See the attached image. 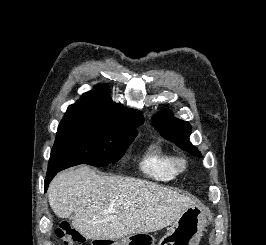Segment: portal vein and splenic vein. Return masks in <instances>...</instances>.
I'll use <instances>...</instances> for the list:
<instances>
[{"mask_svg": "<svg viewBox=\"0 0 266 245\" xmlns=\"http://www.w3.org/2000/svg\"><path fill=\"white\" fill-rule=\"evenodd\" d=\"M103 213H115L114 209H104Z\"/></svg>", "mask_w": 266, "mask_h": 245, "instance_id": "portal-vein-and-splenic-vein-1", "label": "portal vein and splenic vein"}]
</instances>
